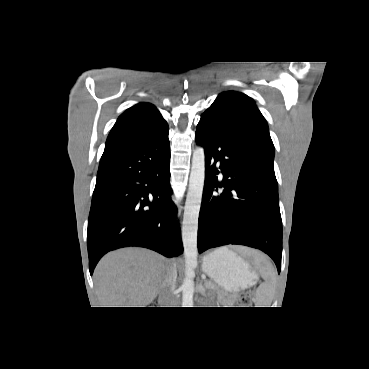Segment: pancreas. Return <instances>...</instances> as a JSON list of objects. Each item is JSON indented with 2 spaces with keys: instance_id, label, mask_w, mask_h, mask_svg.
Returning <instances> with one entry per match:
<instances>
[{
  "instance_id": "cf45deb5",
  "label": "pancreas",
  "mask_w": 369,
  "mask_h": 369,
  "mask_svg": "<svg viewBox=\"0 0 369 369\" xmlns=\"http://www.w3.org/2000/svg\"><path fill=\"white\" fill-rule=\"evenodd\" d=\"M205 287L208 290L215 291L220 296V298H224V296L226 295V293L223 292L222 290H220L219 287L215 283H213L212 281H206L205 282ZM226 301H227L228 305H232V304H234L235 299H234V297H231V299L226 300Z\"/></svg>"
}]
</instances>
